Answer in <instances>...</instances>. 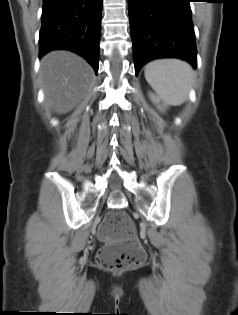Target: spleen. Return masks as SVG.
Instances as JSON below:
<instances>
[{"mask_svg":"<svg viewBox=\"0 0 238 315\" xmlns=\"http://www.w3.org/2000/svg\"><path fill=\"white\" fill-rule=\"evenodd\" d=\"M144 74L158 96L171 105L183 104L194 83L192 67L179 59L151 61L145 66Z\"/></svg>","mask_w":238,"mask_h":315,"instance_id":"1","label":"spleen"}]
</instances>
